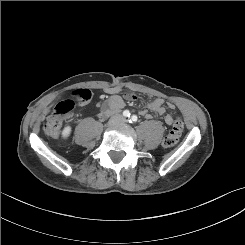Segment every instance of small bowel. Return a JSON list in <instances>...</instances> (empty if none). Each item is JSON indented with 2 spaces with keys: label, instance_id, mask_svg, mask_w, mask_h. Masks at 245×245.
Instances as JSON below:
<instances>
[{
  "label": "small bowel",
  "instance_id": "1",
  "mask_svg": "<svg viewBox=\"0 0 245 245\" xmlns=\"http://www.w3.org/2000/svg\"><path fill=\"white\" fill-rule=\"evenodd\" d=\"M114 92V91H112ZM124 100L127 102H135L137 100V97L134 94H125ZM124 100L122 97L118 95H112L107 101H105L101 106V116H108L113 111H117L121 109L124 105ZM169 107H172L171 104H169ZM166 112L164 100L161 98H155L148 102L147 109H144L141 111V114L146 118H151L152 113L158 114V115H164ZM164 120L166 124L171 125L173 124V118L171 115L166 114L164 117Z\"/></svg>",
  "mask_w": 245,
  "mask_h": 245
}]
</instances>
